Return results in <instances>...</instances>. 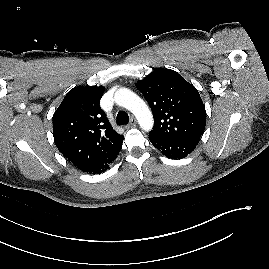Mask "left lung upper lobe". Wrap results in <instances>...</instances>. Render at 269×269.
<instances>
[{
	"instance_id": "1",
	"label": "left lung upper lobe",
	"mask_w": 269,
	"mask_h": 269,
	"mask_svg": "<svg viewBox=\"0 0 269 269\" xmlns=\"http://www.w3.org/2000/svg\"><path fill=\"white\" fill-rule=\"evenodd\" d=\"M154 117L149 136L165 140H199L206 111L198 90L180 74L158 68L136 83Z\"/></svg>"
}]
</instances>
